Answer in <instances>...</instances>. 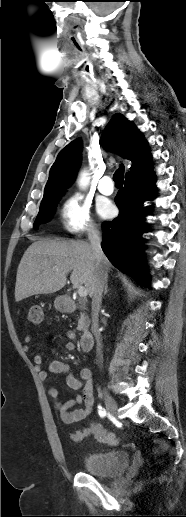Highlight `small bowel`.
<instances>
[{
    "label": "small bowel",
    "mask_w": 186,
    "mask_h": 517,
    "mask_svg": "<svg viewBox=\"0 0 186 517\" xmlns=\"http://www.w3.org/2000/svg\"><path fill=\"white\" fill-rule=\"evenodd\" d=\"M68 338L64 347L67 351H73L76 348L75 334L72 331L66 333ZM33 337L26 335L24 338L25 351H30L29 344L32 342ZM44 358L42 355L34 356V364L38 371L40 378L46 379L49 374H64L66 376V385L72 390H82V393L73 395L69 400L62 403L60 401L59 391L51 387L49 389V395L54 402L55 409L57 410L61 421L64 424L70 425L81 422L87 419L94 408V387L92 382V372L89 368H82L79 372V377H76L71 372L70 365L59 360L51 361L47 368H43ZM77 405H82L81 408H74ZM100 430H104L101 425L90 422L87 426L71 433L69 438L73 442H81L83 439L93 436L97 440Z\"/></svg>",
    "instance_id": "obj_1"
}]
</instances>
